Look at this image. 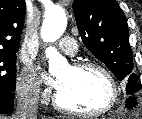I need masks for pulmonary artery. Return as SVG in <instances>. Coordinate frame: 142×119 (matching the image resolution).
Masks as SVG:
<instances>
[{
  "label": "pulmonary artery",
  "mask_w": 142,
  "mask_h": 119,
  "mask_svg": "<svg viewBox=\"0 0 142 119\" xmlns=\"http://www.w3.org/2000/svg\"><path fill=\"white\" fill-rule=\"evenodd\" d=\"M59 48L67 55L74 56L77 54V44L73 38H62L58 43Z\"/></svg>",
  "instance_id": "1"
}]
</instances>
